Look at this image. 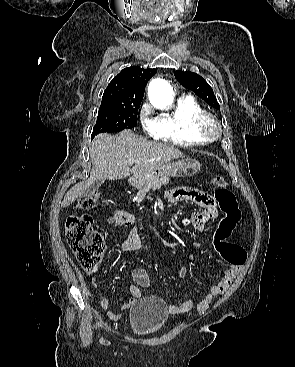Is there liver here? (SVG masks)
Here are the masks:
<instances>
[{"instance_id":"1","label":"liver","mask_w":295,"mask_h":367,"mask_svg":"<svg viewBox=\"0 0 295 367\" xmlns=\"http://www.w3.org/2000/svg\"><path fill=\"white\" fill-rule=\"evenodd\" d=\"M89 151L92 161L90 177L75 184L66 193L62 207L69 206L98 180L123 179L130 174L139 176L173 159L184 157L178 148L148 141L131 130H124L116 136L101 133L93 139Z\"/></svg>"}]
</instances>
